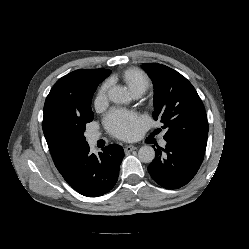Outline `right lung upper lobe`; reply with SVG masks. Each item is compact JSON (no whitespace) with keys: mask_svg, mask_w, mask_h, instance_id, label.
Returning a JSON list of instances; mask_svg holds the SVG:
<instances>
[{"mask_svg":"<svg viewBox=\"0 0 249 249\" xmlns=\"http://www.w3.org/2000/svg\"><path fill=\"white\" fill-rule=\"evenodd\" d=\"M111 73L107 69H80L60 78L44 104L43 132L54 163L76 146L66 135L67 122L83 112L95 86Z\"/></svg>","mask_w":249,"mask_h":249,"instance_id":"1","label":"right lung upper lobe"}]
</instances>
